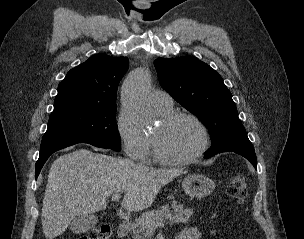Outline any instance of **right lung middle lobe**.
I'll return each mask as SVG.
<instances>
[{
  "mask_svg": "<svg viewBox=\"0 0 304 239\" xmlns=\"http://www.w3.org/2000/svg\"><path fill=\"white\" fill-rule=\"evenodd\" d=\"M115 114L116 105L53 112L42 144L81 141L102 144L119 151L121 146Z\"/></svg>",
  "mask_w": 304,
  "mask_h": 239,
  "instance_id": "dd1d6c3e",
  "label": "right lung middle lobe"
}]
</instances>
